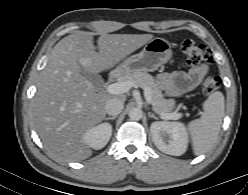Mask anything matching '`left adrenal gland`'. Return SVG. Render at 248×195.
Listing matches in <instances>:
<instances>
[{"label": "left adrenal gland", "instance_id": "obj_1", "mask_svg": "<svg viewBox=\"0 0 248 195\" xmlns=\"http://www.w3.org/2000/svg\"><path fill=\"white\" fill-rule=\"evenodd\" d=\"M148 116H149L150 118H154V119L158 120V117L155 116L154 113L149 112V113H148Z\"/></svg>", "mask_w": 248, "mask_h": 195}]
</instances>
